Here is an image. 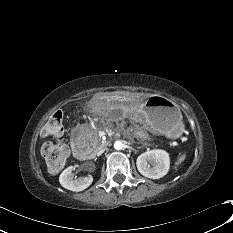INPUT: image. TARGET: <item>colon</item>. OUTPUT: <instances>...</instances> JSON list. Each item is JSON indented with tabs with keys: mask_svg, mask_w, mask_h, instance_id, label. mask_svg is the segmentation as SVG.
<instances>
[{
	"mask_svg": "<svg viewBox=\"0 0 233 233\" xmlns=\"http://www.w3.org/2000/svg\"><path fill=\"white\" fill-rule=\"evenodd\" d=\"M63 112L55 111L43 128V134L46 136H56L63 131ZM42 152L49 170L58 171L66 162L68 156V147L62 140L56 142H46L43 144Z\"/></svg>",
	"mask_w": 233,
	"mask_h": 233,
	"instance_id": "5ec220e1",
	"label": "colon"
}]
</instances>
